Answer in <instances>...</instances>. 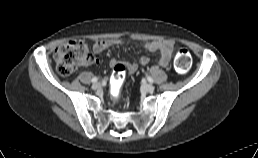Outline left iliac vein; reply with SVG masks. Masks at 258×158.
I'll list each match as a JSON object with an SVG mask.
<instances>
[{"instance_id": "1", "label": "left iliac vein", "mask_w": 258, "mask_h": 158, "mask_svg": "<svg viewBox=\"0 0 258 158\" xmlns=\"http://www.w3.org/2000/svg\"><path fill=\"white\" fill-rule=\"evenodd\" d=\"M143 89L148 93H152L155 90V87L152 84H144Z\"/></svg>"}]
</instances>
